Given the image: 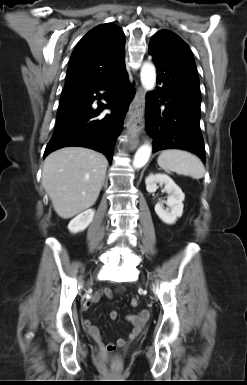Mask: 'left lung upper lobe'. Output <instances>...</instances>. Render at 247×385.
<instances>
[{
    "label": "left lung upper lobe",
    "mask_w": 247,
    "mask_h": 385,
    "mask_svg": "<svg viewBox=\"0 0 247 385\" xmlns=\"http://www.w3.org/2000/svg\"><path fill=\"white\" fill-rule=\"evenodd\" d=\"M155 35L163 37L165 44L172 54L180 59L184 66L198 77L192 52L189 46L179 36L168 30H161Z\"/></svg>",
    "instance_id": "1"
}]
</instances>
